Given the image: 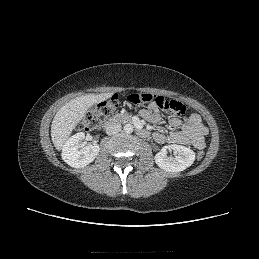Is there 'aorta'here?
<instances>
[{
  "label": "aorta",
  "instance_id": "aorta-1",
  "mask_svg": "<svg viewBox=\"0 0 259 259\" xmlns=\"http://www.w3.org/2000/svg\"><path fill=\"white\" fill-rule=\"evenodd\" d=\"M133 125L132 124H125L124 125V131L126 132V133H132L133 132Z\"/></svg>",
  "mask_w": 259,
  "mask_h": 259
}]
</instances>
